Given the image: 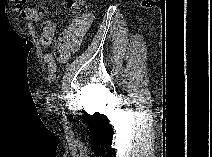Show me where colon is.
Segmentation results:
<instances>
[{"mask_svg": "<svg viewBox=\"0 0 212 157\" xmlns=\"http://www.w3.org/2000/svg\"><path fill=\"white\" fill-rule=\"evenodd\" d=\"M65 8L69 14L80 16L85 13L86 4L84 0H66Z\"/></svg>", "mask_w": 212, "mask_h": 157, "instance_id": "obj_1", "label": "colon"}]
</instances>
